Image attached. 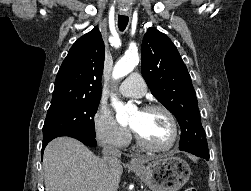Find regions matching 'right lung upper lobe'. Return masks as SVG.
<instances>
[{"label":"right lung upper lobe","instance_id":"cb5924a9","mask_svg":"<svg viewBox=\"0 0 251 191\" xmlns=\"http://www.w3.org/2000/svg\"><path fill=\"white\" fill-rule=\"evenodd\" d=\"M104 56L102 36L95 27L80 37L69 50L55 80L51 106L100 101Z\"/></svg>","mask_w":251,"mask_h":191}]
</instances>
